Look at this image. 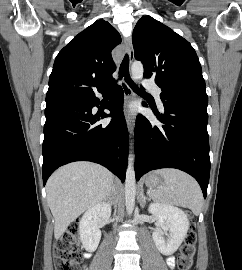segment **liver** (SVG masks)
I'll return each instance as SVG.
<instances>
[{"label":"liver","mask_w":242,"mask_h":270,"mask_svg":"<svg viewBox=\"0 0 242 270\" xmlns=\"http://www.w3.org/2000/svg\"><path fill=\"white\" fill-rule=\"evenodd\" d=\"M113 189L114 175L95 163L74 162L55 171L46 184L55 239L85 210L106 200Z\"/></svg>","instance_id":"1"}]
</instances>
